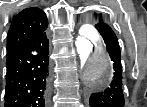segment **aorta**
Here are the masks:
<instances>
[{
    "label": "aorta",
    "instance_id": "1",
    "mask_svg": "<svg viewBox=\"0 0 147 107\" xmlns=\"http://www.w3.org/2000/svg\"><path fill=\"white\" fill-rule=\"evenodd\" d=\"M75 44L83 63L82 71L86 85H106L113 77V67L98 33L91 26H84Z\"/></svg>",
    "mask_w": 147,
    "mask_h": 107
}]
</instances>
